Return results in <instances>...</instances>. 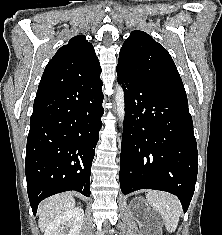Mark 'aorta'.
Masks as SVG:
<instances>
[{"instance_id": "aorta-1", "label": "aorta", "mask_w": 222, "mask_h": 235, "mask_svg": "<svg viewBox=\"0 0 222 235\" xmlns=\"http://www.w3.org/2000/svg\"><path fill=\"white\" fill-rule=\"evenodd\" d=\"M116 113L120 121V126H123V120L125 116V102H124V90L121 85H116L115 94Z\"/></svg>"}]
</instances>
